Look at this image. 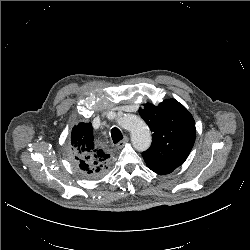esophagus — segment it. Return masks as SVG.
Instances as JSON below:
<instances>
[{
  "label": "esophagus",
  "mask_w": 250,
  "mask_h": 250,
  "mask_svg": "<svg viewBox=\"0 0 250 250\" xmlns=\"http://www.w3.org/2000/svg\"><path fill=\"white\" fill-rule=\"evenodd\" d=\"M129 141L128 137H125L123 140H121L120 142H118L117 144V148L121 149L124 147V145Z\"/></svg>",
  "instance_id": "obj_1"
}]
</instances>
